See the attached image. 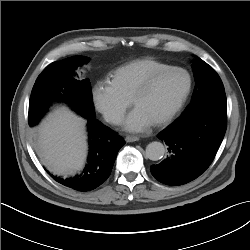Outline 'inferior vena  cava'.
I'll use <instances>...</instances> for the list:
<instances>
[{"mask_svg": "<svg viewBox=\"0 0 250 250\" xmlns=\"http://www.w3.org/2000/svg\"><path fill=\"white\" fill-rule=\"evenodd\" d=\"M107 120L113 124H120L123 120V116L118 113H112L108 116Z\"/></svg>", "mask_w": 250, "mask_h": 250, "instance_id": "1", "label": "inferior vena cava"}]
</instances>
